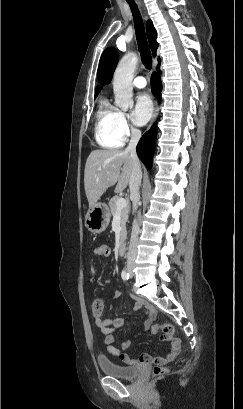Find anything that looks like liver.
I'll use <instances>...</instances> for the list:
<instances>
[{
  "instance_id": "obj_1",
  "label": "liver",
  "mask_w": 243,
  "mask_h": 409,
  "mask_svg": "<svg viewBox=\"0 0 243 409\" xmlns=\"http://www.w3.org/2000/svg\"><path fill=\"white\" fill-rule=\"evenodd\" d=\"M133 167V160L126 150H93L87 158L84 171L89 207L94 206L102 194L115 184V192H122L129 184Z\"/></svg>"
}]
</instances>
